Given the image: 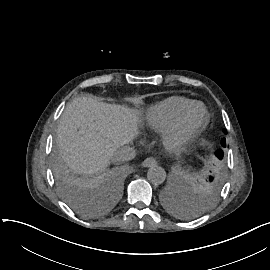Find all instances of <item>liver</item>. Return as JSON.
<instances>
[{
	"label": "liver",
	"mask_w": 270,
	"mask_h": 270,
	"mask_svg": "<svg viewBox=\"0 0 270 270\" xmlns=\"http://www.w3.org/2000/svg\"><path fill=\"white\" fill-rule=\"evenodd\" d=\"M135 123L134 113L124 107L78 97L59 120V153L75 172H101L117 148L132 139Z\"/></svg>",
	"instance_id": "1"
}]
</instances>
